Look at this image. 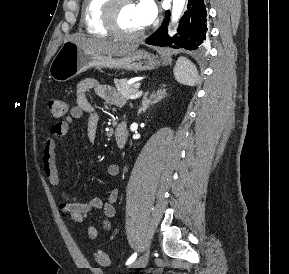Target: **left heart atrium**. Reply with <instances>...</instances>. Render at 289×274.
I'll list each match as a JSON object with an SVG mask.
<instances>
[{"instance_id": "obj_1", "label": "left heart atrium", "mask_w": 289, "mask_h": 274, "mask_svg": "<svg viewBox=\"0 0 289 274\" xmlns=\"http://www.w3.org/2000/svg\"><path fill=\"white\" fill-rule=\"evenodd\" d=\"M136 10L143 26L151 24L157 15V8L153 0H140L136 4Z\"/></svg>"}]
</instances>
